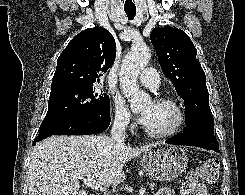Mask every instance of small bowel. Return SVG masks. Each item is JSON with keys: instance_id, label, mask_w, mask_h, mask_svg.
<instances>
[{"instance_id": "1", "label": "small bowel", "mask_w": 245, "mask_h": 195, "mask_svg": "<svg viewBox=\"0 0 245 195\" xmlns=\"http://www.w3.org/2000/svg\"><path fill=\"white\" fill-rule=\"evenodd\" d=\"M202 190H203V195H208L203 186H202ZM157 195H174V190L168 187H163L158 191Z\"/></svg>"}]
</instances>
